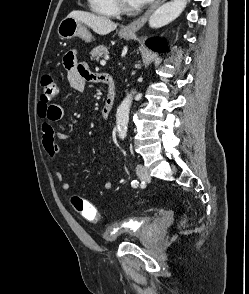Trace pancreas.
Returning a JSON list of instances; mask_svg holds the SVG:
<instances>
[{"label": "pancreas", "instance_id": "cf45deb5", "mask_svg": "<svg viewBox=\"0 0 249 294\" xmlns=\"http://www.w3.org/2000/svg\"><path fill=\"white\" fill-rule=\"evenodd\" d=\"M91 59L92 60H99L100 57H102V55L106 56L109 54L107 48L103 45H99L96 48H94L91 52Z\"/></svg>", "mask_w": 249, "mask_h": 294}]
</instances>
